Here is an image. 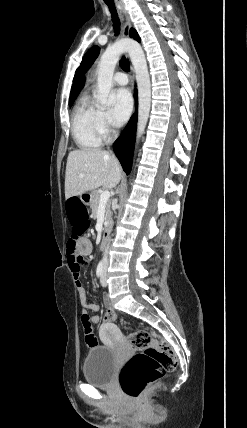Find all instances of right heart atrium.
I'll list each match as a JSON object with an SVG mask.
<instances>
[{
    "instance_id": "right-heart-atrium-1",
    "label": "right heart atrium",
    "mask_w": 247,
    "mask_h": 428,
    "mask_svg": "<svg viewBox=\"0 0 247 428\" xmlns=\"http://www.w3.org/2000/svg\"><path fill=\"white\" fill-rule=\"evenodd\" d=\"M98 123L104 138L111 136L116 129L115 123L112 121L110 115L106 111L99 110Z\"/></svg>"
}]
</instances>
